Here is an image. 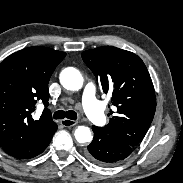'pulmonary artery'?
Returning a JSON list of instances; mask_svg holds the SVG:
<instances>
[{"label":"pulmonary artery","mask_w":183,"mask_h":183,"mask_svg":"<svg viewBox=\"0 0 183 183\" xmlns=\"http://www.w3.org/2000/svg\"><path fill=\"white\" fill-rule=\"evenodd\" d=\"M82 108L91 122L102 125L105 122V114L96 98V89L93 83L86 84L83 97Z\"/></svg>","instance_id":"e3ab8cb5"}]
</instances>
